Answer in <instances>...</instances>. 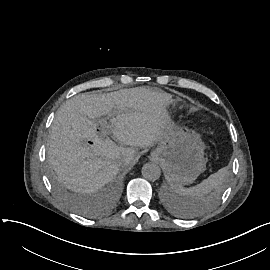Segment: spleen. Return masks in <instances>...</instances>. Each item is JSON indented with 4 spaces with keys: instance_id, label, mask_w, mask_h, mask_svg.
I'll return each instance as SVG.
<instances>
[{
    "instance_id": "3e777b00",
    "label": "spleen",
    "mask_w": 270,
    "mask_h": 270,
    "mask_svg": "<svg viewBox=\"0 0 270 270\" xmlns=\"http://www.w3.org/2000/svg\"><path fill=\"white\" fill-rule=\"evenodd\" d=\"M228 175V169L221 168L194 187L183 188L178 184H170V188L173 191L175 198L181 202L185 209L196 210V208H198L197 204L206 194L210 193L214 189L218 190L223 187L227 181Z\"/></svg>"
}]
</instances>
